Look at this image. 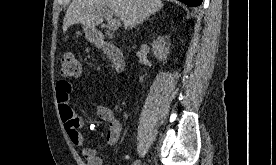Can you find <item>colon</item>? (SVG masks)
Here are the masks:
<instances>
[{"label":"colon","instance_id":"5ec220e1","mask_svg":"<svg viewBox=\"0 0 276 165\" xmlns=\"http://www.w3.org/2000/svg\"><path fill=\"white\" fill-rule=\"evenodd\" d=\"M82 63L73 54L66 53L61 59L60 73L64 77H76L81 73Z\"/></svg>","mask_w":276,"mask_h":165}]
</instances>
